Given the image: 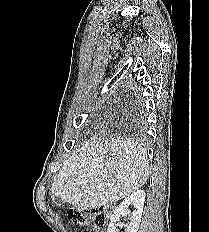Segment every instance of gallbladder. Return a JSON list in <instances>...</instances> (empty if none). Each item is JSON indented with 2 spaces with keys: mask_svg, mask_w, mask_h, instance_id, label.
I'll list each match as a JSON object with an SVG mask.
<instances>
[{
  "mask_svg": "<svg viewBox=\"0 0 209 232\" xmlns=\"http://www.w3.org/2000/svg\"><path fill=\"white\" fill-rule=\"evenodd\" d=\"M53 202H54V204H55L56 206H61V205H63V201H62V199L59 198V197L53 198Z\"/></svg>",
  "mask_w": 209,
  "mask_h": 232,
  "instance_id": "obj_1",
  "label": "gallbladder"
}]
</instances>
